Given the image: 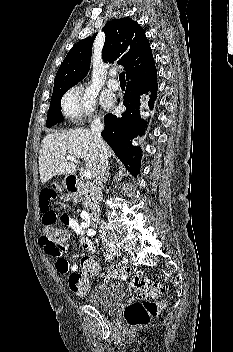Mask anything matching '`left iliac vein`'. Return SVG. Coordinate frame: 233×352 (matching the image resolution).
Returning <instances> with one entry per match:
<instances>
[{
  "instance_id": "left-iliac-vein-1",
  "label": "left iliac vein",
  "mask_w": 233,
  "mask_h": 352,
  "mask_svg": "<svg viewBox=\"0 0 233 352\" xmlns=\"http://www.w3.org/2000/svg\"><path fill=\"white\" fill-rule=\"evenodd\" d=\"M114 255H116V256H120V255H121V251H120V249H117V250H116V252L114 253Z\"/></svg>"
}]
</instances>
